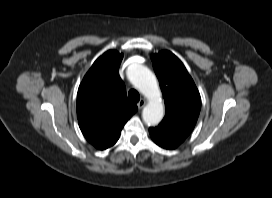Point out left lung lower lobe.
<instances>
[{"label": "left lung lower lobe", "instance_id": "left-lung-lower-lobe-1", "mask_svg": "<svg viewBox=\"0 0 272 198\" xmlns=\"http://www.w3.org/2000/svg\"><path fill=\"white\" fill-rule=\"evenodd\" d=\"M149 132L153 141L165 149H175L187 137L160 125L149 128Z\"/></svg>", "mask_w": 272, "mask_h": 198}]
</instances>
